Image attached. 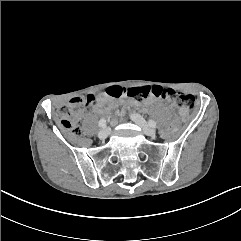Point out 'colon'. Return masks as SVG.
I'll use <instances>...</instances> for the list:
<instances>
[{"label":"colon","instance_id":"5ec220e1","mask_svg":"<svg viewBox=\"0 0 241 241\" xmlns=\"http://www.w3.org/2000/svg\"><path fill=\"white\" fill-rule=\"evenodd\" d=\"M157 97L176 103L183 109L192 110L195 107V99L189 94H179L176 91L161 86H141V87H120L114 86L108 88L99 96L80 95L73 98L69 103L62 106L56 115L60 125L74 135L80 133L79 118L82 112L96 104L98 101L107 97L121 98L129 97L134 99H147L149 97ZM179 120H171L169 126L161 129L162 135H167L178 130Z\"/></svg>","mask_w":241,"mask_h":241}]
</instances>
